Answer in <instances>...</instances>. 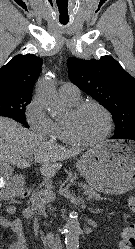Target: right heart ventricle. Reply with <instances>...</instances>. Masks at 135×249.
<instances>
[{
  "label": "right heart ventricle",
  "mask_w": 135,
  "mask_h": 249,
  "mask_svg": "<svg viewBox=\"0 0 135 249\" xmlns=\"http://www.w3.org/2000/svg\"><path fill=\"white\" fill-rule=\"evenodd\" d=\"M64 100L71 107L74 106L78 101V100L72 101V100H68V99H64ZM52 137H54L62 142H65V143H71L70 139L68 138V135L66 133L64 121H55L53 123Z\"/></svg>",
  "instance_id": "e07e8e85"
}]
</instances>
